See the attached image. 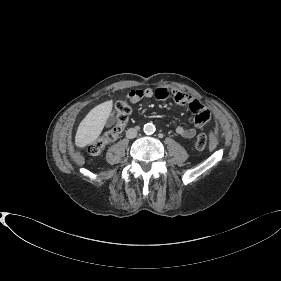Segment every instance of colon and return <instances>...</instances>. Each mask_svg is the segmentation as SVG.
<instances>
[{"mask_svg": "<svg viewBox=\"0 0 281 281\" xmlns=\"http://www.w3.org/2000/svg\"><path fill=\"white\" fill-rule=\"evenodd\" d=\"M131 109L125 100H120L116 104L117 122L116 125L106 132L100 139L91 143L88 147V152L92 156H98L102 153L104 147L114 142L122 133L126 123L129 120ZM208 138L205 134H200L196 139V147L200 150L206 148Z\"/></svg>", "mask_w": 281, "mask_h": 281, "instance_id": "obj_1", "label": "colon"}]
</instances>
